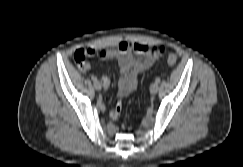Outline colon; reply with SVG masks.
Wrapping results in <instances>:
<instances>
[{"label":"colon","mask_w":243,"mask_h":167,"mask_svg":"<svg viewBox=\"0 0 243 167\" xmlns=\"http://www.w3.org/2000/svg\"><path fill=\"white\" fill-rule=\"evenodd\" d=\"M91 50L88 48H80L76 50L74 54V59L79 67H82L88 56H90ZM177 62V57L174 54H169L167 56V63L171 66L175 65Z\"/></svg>","instance_id":"5ec220e1"}]
</instances>
